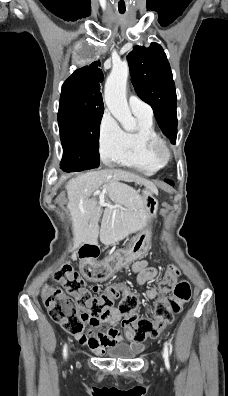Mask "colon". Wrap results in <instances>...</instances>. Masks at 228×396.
Instances as JSON below:
<instances>
[{
	"label": "colon",
	"mask_w": 228,
	"mask_h": 396,
	"mask_svg": "<svg viewBox=\"0 0 228 396\" xmlns=\"http://www.w3.org/2000/svg\"><path fill=\"white\" fill-rule=\"evenodd\" d=\"M177 276L178 270L170 267L159 283L161 296L154 304L153 319L138 318L134 314L138 298L122 284L109 285L101 295H93L69 264L60 265L54 273V279L62 285L67 295L59 288L46 287L42 298L50 318L74 335L82 333L87 324L91 327L113 324L111 310L120 299L119 312L125 316L122 327L131 328L135 339L142 341L158 336L190 300V285L186 281L177 282Z\"/></svg>",
	"instance_id": "colon-1"
}]
</instances>
